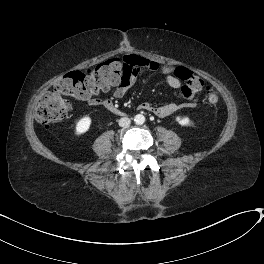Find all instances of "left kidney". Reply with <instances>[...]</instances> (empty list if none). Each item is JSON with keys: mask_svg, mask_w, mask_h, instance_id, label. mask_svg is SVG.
<instances>
[{"mask_svg": "<svg viewBox=\"0 0 264 264\" xmlns=\"http://www.w3.org/2000/svg\"><path fill=\"white\" fill-rule=\"evenodd\" d=\"M176 121L181 125V126H190V119L186 116H177Z\"/></svg>", "mask_w": 264, "mask_h": 264, "instance_id": "obj_1", "label": "left kidney"}]
</instances>
